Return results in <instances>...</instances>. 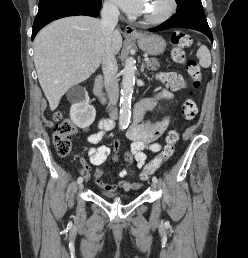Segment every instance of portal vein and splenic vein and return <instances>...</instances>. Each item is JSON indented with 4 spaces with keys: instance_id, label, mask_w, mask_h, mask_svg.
<instances>
[{
    "instance_id": "portal-vein-and-splenic-vein-1",
    "label": "portal vein and splenic vein",
    "mask_w": 248,
    "mask_h": 258,
    "mask_svg": "<svg viewBox=\"0 0 248 258\" xmlns=\"http://www.w3.org/2000/svg\"><path fill=\"white\" fill-rule=\"evenodd\" d=\"M144 61H145V62L149 61V58H148V57H145V58H144Z\"/></svg>"
}]
</instances>
